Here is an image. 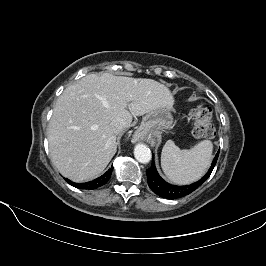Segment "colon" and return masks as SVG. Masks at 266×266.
<instances>
[{
  "instance_id": "colon-1",
  "label": "colon",
  "mask_w": 266,
  "mask_h": 266,
  "mask_svg": "<svg viewBox=\"0 0 266 266\" xmlns=\"http://www.w3.org/2000/svg\"><path fill=\"white\" fill-rule=\"evenodd\" d=\"M190 117L194 120L193 134L197 138H212L215 135V126L212 112L208 107L199 105L191 109Z\"/></svg>"
}]
</instances>
